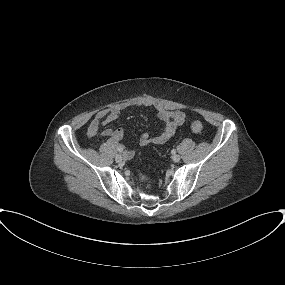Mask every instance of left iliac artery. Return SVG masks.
<instances>
[{"mask_svg": "<svg viewBox=\"0 0 285 285\" xmlns=\"http://www.w3.org/2000/svg\"><path fill=\"white\" fill-rule=\"evenodd\" d=\"M171 153H172V154H176V150L173 149V150L171 151Z\"/></svg>", "mask_w": 285, "mask_h": 285, "instance_id": "1", "label": "left iliac artery"}]
</instances>
